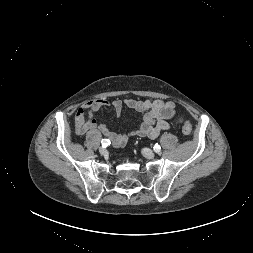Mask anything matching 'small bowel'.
Segmentation results:
<instances>
[{"mask_svg": "<svg viewBox=\"0 0 253 253\" xmlns=\"http://www.w3.org/2000/svg\"><path fill=\"white\" fill-rule=\"evenodd\" d=\"M112 106L120 116L125 108L134 109L143 114L140 126L129 134H118L109 130L105 123L98 122L93 116L100 108ZM176 114L175 104L171 101L161 99H124L109 102L106 99L98 98L86 101L75 114V132L82 136L90 130L97 129L104 136L109 138L117 147L124 146L130 136L155 138L160 132L170 128L169 119Z\"/></svg>", "mask_w": 253, "mask_h": 253, "instance_id": "obj_1", "label": "small bowel"}]
</instances>
